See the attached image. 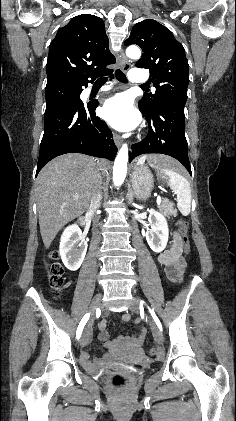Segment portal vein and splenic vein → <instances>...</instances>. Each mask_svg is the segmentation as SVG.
I'll list each match as a JSON object with an SVG mask.
<instances>
[{"label": "portal vein and splenic vein", "instance_id": "1", "mask_svg": "<svg viewBox=\"0 0 236 421\" xmlns=\"http://www.w3.org/2000/svg\"><path fill=\"white\" fill-rule=\"evenodd\" d=\"M171 197H174V194H171ZM74 200H78L79 196L78 194H73ZM161 202V196H157V205H160Z\"/></svg>", "mask_w": 236, "mask_h": 421}]
</instances>
